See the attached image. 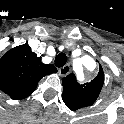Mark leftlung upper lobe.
I'll return each instance as SVG.
<instances>
[{
  "label": "left lung upper lobe",
  "mask_w": 124,
  "mask_h": 124,
  "mask_svg": "<svg viewBox=\"0 0 124 124\" xmlns=\"http://www.w3.org/2000/svg\"><path fill=\"white\" fill-rule=\"evenodd\" d=\"M104 83V72L102 68L98 75L89 83L80 85L74 74H69L62 81V98L66 106L75 111L92 105L98 98Z\"/></svg>",
  "instance_id": "left-lung-upper-lobe-1"
}]
</instances>
